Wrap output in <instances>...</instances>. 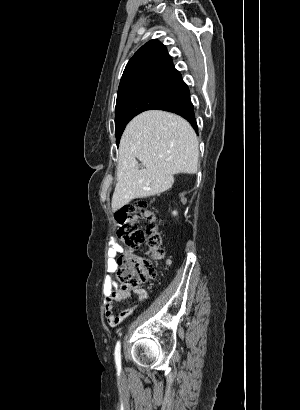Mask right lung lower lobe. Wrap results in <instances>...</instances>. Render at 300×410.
Segmentation results:
<instances>
[{
	"instance_id": "1",
	"label": "right lung lower lobe",
	"mask_w": 300,
	"mask_h": 410,
	"mask_svg": "<svg viewBox=\"0 0 300 410\" xmlns=\"http://www.w3.org/2000/svg\"><path fill=\"white\" fill-rule=\"evenodd\" d=\"M159 110L173 112L184 117L192 125L195 131L198 132L194 107L190 100V92L188 88H186V90L177 99L170 104L159 108Z\"/></svg>"
}]
</instances>
